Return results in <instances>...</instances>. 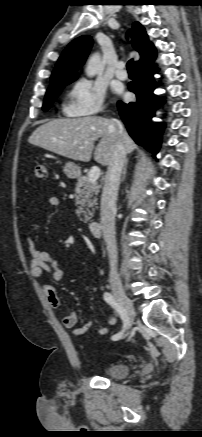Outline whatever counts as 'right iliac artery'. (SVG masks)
Segmentation results:
<instances>
[{"instance_id":"82829eb1","label":"right iliac artery","mask_w":202,"mask_h":437,"mask_svg":"<svg viewBox=\"0 0 202 437\" xmlns=\"http://www.w3.org/2000/svg\"><path fill=\"white\" fill-rule=\"evenodd\" d=\"M103 297H104V300L110 306H112V308H114V310L119 314L120 318L122 319V321L124 323L123 330L112 336V340L117 341V340L121 339L123 336L124 329H125L126 322H127V314H126V311L123 308V306L114 298V296L111 293L105 292Z\"/></svg>"}]
</instances>
